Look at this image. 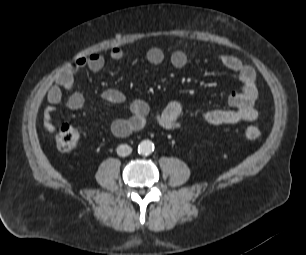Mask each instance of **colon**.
<instances>
[{"mask_svg":"<svg viewBox=\"0 0 306 255\" xmlns=\"http://www.w3.org/2000/svg\"><path fill=\"white\" fill-rule=\"evenodd\" d=\"M260 129L256 126H248L245 130V135L248 139H257L260 136ZM79 132L71 125H63L56 135V145L60 152L69 153L78 144Z\"/></svg>","mask_w":306,"mask_h":255,"instance_id":"1","label":"colon"}]
</instances>
